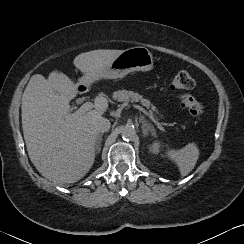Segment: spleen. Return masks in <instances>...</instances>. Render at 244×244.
Instances as JSON below:
<instances>
[{"instance_id":"obj_1","label":"spleen","mask_w":244,"mask_h":244,"mask_svg":"<svg viewBox=\"0 0 244 244\" xmlns=\"http://www.w3.org/2000/svg\"><path fill=\"white\" fill-rule=\"evenodd\" d=\"M164 156L175 162L181 176H186L194 169L199 158V148L195 142H190L181 149H166Z\"/></svg>"}]
</instances>
